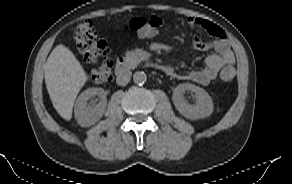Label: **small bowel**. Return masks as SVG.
Masks as SVG:
<instances>
[{"label": "small bowel", "mask_w": 292, "mask_h": 184, "mask_svg": "<svg viewBox=\"0 0 292 184\" xmlns=\"http://www.w3.org/2000/svg\"><path fill=\"white\" fill-rule=\"evenodd\" d=\"M153 17L160 21L161 25L164 23L162 17L157 15ZM184 21L192 27L203 29L212 37L211 41L204 42L199 37L195 36L192 40L193 47L199 51L213 49L215 52L206 57L205 66L201 69L180 74L172 67H168L166 73L182 80H189L201 85H208L216 78L223 65L233 64L235 62L234 53L229 46L224 31L216 24L193 16H186Z\"/></svg>", "instance_id": "obj_1"}]
</instances>
